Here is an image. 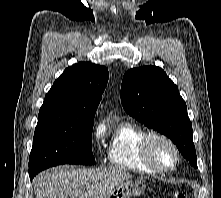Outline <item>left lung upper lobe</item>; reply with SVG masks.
<instances>
[{"mask_svg": "<svg viewBox=\"0 0 221 198\" xmlns=\"http://www.w3.org/2000/svg\"><path fill=\"white\" fill-rule=\"evenodd\" d=\"M121 102L127 114L170 138L197 168L186 103L164 70L145 66L127 71L121 84Z\"/></svg>", "mask_w": 221, "mask_h": 198, "instance_id": "1", "label": "left lung upper lobe"}]
</instances>
